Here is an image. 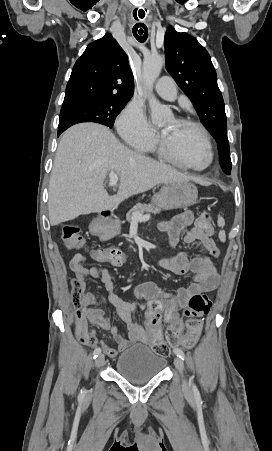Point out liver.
<instances>
[{"label": "liver", "instance_id": "liver-1", "mask_svg": "<svg viewBox=\"0 0 272 451\" xmlns=\"http://www.w3.org/2000/svg\"><path fill=\"white\" fill-rule=\"evenodd\" d=\"M116 172L120 188L109 196L103 182ZM197 182L201 178L177 172L123 146L106 126L77 124L64 132L49 180L48 214L51 226L81 214L111 210L135 194L168 182Z\"/></svg>", "mask_w": 272, "mask_h": 451}]
</instances>
